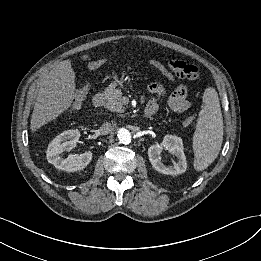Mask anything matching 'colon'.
Returning <instances> with one entry per match:
<instances>
[{
	"label": "colon",
	"instance_id": "obj_1",
	"mask_svg": "<svg viewBox=\"0 0 261 261\" xmlns=\"http://www.w3.org/2000/svg\"><path fill=\"white\" fill-rule=\"evenodd\" d=\"M168 68L171 74L177 79L194 80L199 76L198 68L184 61L172 60L168 63ZM88 91L89 85L80 87L75 91L72 110H76L81 106ZM192 120V117L187 118V122H191Z\"/></svg>",
	"mask_w": 261,
	"mask_h": 261
}]
</instances>
